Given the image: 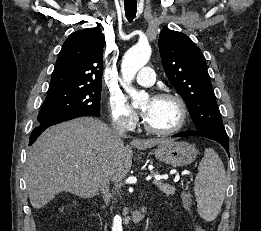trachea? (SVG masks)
<instances>
[{
    "label": "trachea",
    "mask_w": 261,
    "mask_h": 231,
    "mask_svg": "<svg viewBox=\"0 0 261 231\" xmlns=\"http://www.w3.org/2000/svg\"><path fill=\"white\" fill-rule=\"evenodd\" d=\"M124 6L126 18L131 22L136 16L137 3L136 1H125Z\"/></svg>",
    "instance_id": "1"
}]
</instances>
